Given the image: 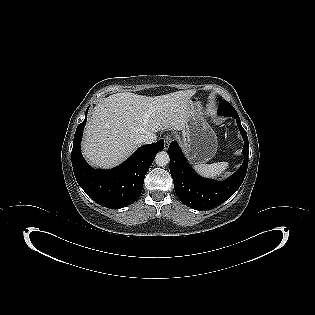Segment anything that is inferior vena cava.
<instances>
[{
  "label": "inferior vena cava",
  "instance_id": "1",
  "mask_svg": "<svg viewBox=\"0 0 315 315\" xmlns=\"http://www.w3.org/2000/svg\"><path fill=\"white\" fill-rule=\"evenodd\" d=\"M157 140V135L155 133H147L145 135H142L140 138V142L144 144H150L154 143Z\"/></svg>",
  "mask_w": 315,
  "mask_h": 315
}]
</instances>
